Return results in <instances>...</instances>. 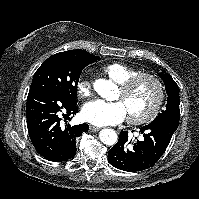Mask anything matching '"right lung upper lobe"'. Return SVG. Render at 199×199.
<instances>
[{
	"label": "right lung upper lobe",
	"mask_w": 199,
	"mask_h": 199,
	"mask_svg": "<svg viewBox=\"0 0 199 199\" xmlns=\"http://www.w3.org/2000/svg\"><path fill=\"white\" fill-rule=\"evenodd\" d=\"M64 55H68V56H72V57H79V58H83V57H88L92 54L88 53L87 51L84 50H69L66 52H61Z\"/></svg>",
	"instance_id": "right-lung-upper-lobe-1"
}]
</instances>
